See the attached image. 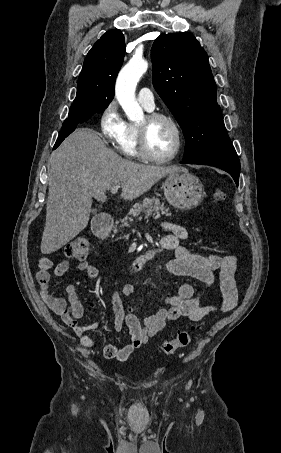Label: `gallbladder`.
<instances>
[{
	"instance_id": "obj_1",
	"label": "gallbladder",
	"mask_w": 281,
	"mask_h": 453,
	"mask_svg": "<svg viewBox=\"0 0 281 453\" xmlns=\"http://www.w3.org/2000/svg\"><path fill=\"white\" fill-rule=\"evenodd\" d=\"M92 212L95 214V212H97V208H93Z\"/></svg>"
}]
</instances>
